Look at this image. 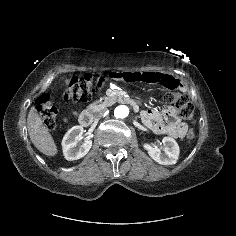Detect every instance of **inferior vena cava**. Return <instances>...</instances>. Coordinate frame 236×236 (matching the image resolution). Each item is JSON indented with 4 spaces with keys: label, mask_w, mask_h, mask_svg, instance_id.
I'll return each mask as SVG.
<instances>
[{
    "label": "inferior vena cava",
    "mask_w": 236,
    "mask_h": 236,
    "mask_svg": "<svg viewBox=\"0 0 236 236\" xmlns=\"http://www.w3.org/2000/svg\"><path fill=\"white\" fill-rule=\"evenodd\" d=\"M103 115V112H99L94 116V120L97 121L98 119H100Z\"/></svg>",
    "instance_id": "1"
}]
</instances>
